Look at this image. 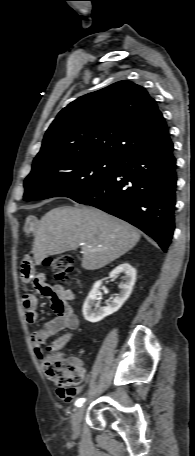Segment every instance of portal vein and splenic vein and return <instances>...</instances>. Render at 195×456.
<instances>
[{
    "instance_id": "18ae733b",
    "label": "portal vein and splenic vein",
    "mask_w": 195,
    "mask_h": 456,
    "mask_svg": "<svg viewBox=\"0 0 195 456\" xmlns=\"http://www.w3.org/2000/svg\"><path fill=\"white\" fill-rule=\"evenodd\" d=\"M80 246L85 247V244H84V243H81Z\"/></svg>"
}]
</instances>
